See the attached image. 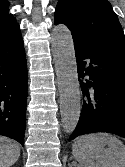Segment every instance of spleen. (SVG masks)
Returning a JSON list of instances; mask_svg holds the SVG:
<instances>
[{
	"label": "spleen",
	"instance_id": "3e777b00",
	"mask_svg": "<svg viewBox=\"0 0 125 167\" xmlns=\"http://www.w3.org/2000/svg\"><path fill=\"white\" fill-rule=\"evenodd\" d=\"M72 154L81 167H125V146L109 134L80 136L72 145Z\"/></svg>",
	"mask_w": 125,
	"mask_h": 167
}]
</instances>
